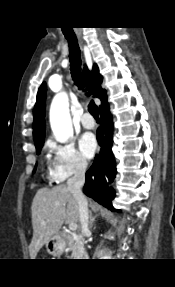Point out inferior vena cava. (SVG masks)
I'll return each instance as SVG.
<instances>
[{
	"label": "inferior vena cava",
	"mask_w": 175,
	"mask_h": 287,
	"mask_svg": "<svg viewBox=\"0 0 175 287\" xmlns=\"http://www.w3.org/2000/svg\"><path fill=\"white\" fill-rule=\"evenodd\" d=\"M87 164L80 161L74 171V176L67 181V187L71 190L79 208V218L82 226V233L87 234L88 229V202L82 193V187L85 182V172Z\"/></svg>",
	"instance_id": "1"
}]
</instances>
